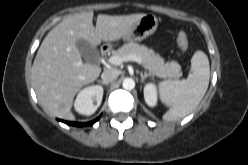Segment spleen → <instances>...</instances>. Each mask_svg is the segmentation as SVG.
<instances>
[{
    "label": "spleen",
    "mask_w": 248,
    "mask_h": 165,
    "mask_svg": "<svg viewBox=\"0 0 248 165\" xmlns=\"http://www.w3.org/2000/svg\"><path fill=\"white\" fill-rule=\"evenodd\" d=\"M192 74L181 81H163L159 84L160 100L170 109L163 115L165 121H176L190 114L203 99L209 85L210 66L207 55L196 51L191 59Z\"/></svg>",
    "instance_id": "1"
}]
</instances>
